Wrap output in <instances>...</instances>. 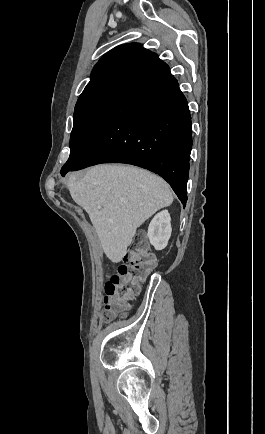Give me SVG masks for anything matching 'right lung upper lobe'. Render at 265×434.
Instances as JSON below:
<instances>
[{
    "instance_id": "obj_1",
    "label": "right lung upper lobe",
    "mask_w": 265,
    "mask_h": 434,
    "mask_svg": "<svg viewBox=\"0 0 265 434\" xmlns=\"http://www.w3.org/2000/svg\"><path fill=\"white\" fill-rule=\"evenodd\" d=\"M158 59L139 43L124 44L106 53L95 65L88 84L118 74L135 75Z\"/></svg>"
}]
</instances>
